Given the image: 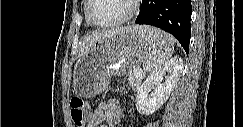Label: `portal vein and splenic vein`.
Instances as JSON below:
<instances>
[{
	"instance_id": "obj_1",
	"label": "portal vein and splenic vein",
	"mask_w": 243,
	"mask_h": 127,
	"mask_svg": "<svg viewBox=\"0 0 243 127\" xmlns=\"http://www.w3.org/2000/svg\"><path fill=\"white\" fill-rule=\"evenodd\" d=\"M142 73H143L142 71L134 70V74H136V75L140 76V75H142Z\"/></svg>"
}]
</instances>
